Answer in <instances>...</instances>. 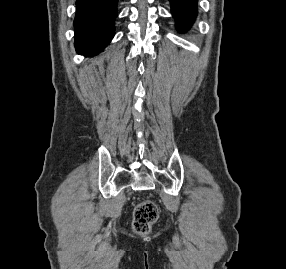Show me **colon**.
<instances>
[{
	"label": "colon",
	"instance_id": "5ec220e1",
	"mask_svg": "<svg viewBox=\"0 0 286 269\" xmlns=\"http://www.w3.org/2000/svg\"><path fill=\"white\" fill-rule=\"evenodd\" d=\"M159 212L156 204L151 200L140 202L133 212V229L139 234L149 232L153 223L158 219Z\"/></svg>",
	"mask_w": 286,
	"mask_h": 269
}]
</instances>
